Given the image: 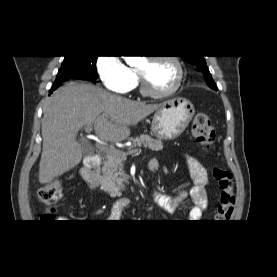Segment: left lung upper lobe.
Instances as JSON below:
<instances>
[{"label":"left lung upper lobe","instance_id":"left-lung-upper-lobe-1","mask_svg":"<svg viewBox=\"0 0 277 277\" xmlns=\"http://www.w3.org/2000/svg\"><path fill=\"white\" fill-rule=\"evenodd\" d=\"M184 60L190 62L195 65L199 71H201L204 75L205 81L208 86L214 90H217V86L212 79L211 73L207 67L205 59L203 56H181Z\"/></svg>","mask_w":277,"mask_h":277}]
</instances>
